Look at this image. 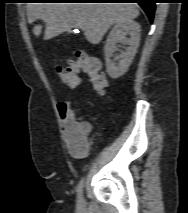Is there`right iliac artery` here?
Masks as SVG:
<instances>
[{"label":"right iliac artery","instance_id":"82829eb1","mask_svg":"<svg viewBox=\"0 0 188 213\" xmlns=\"http://www.w3.org/2000/svg\"><path fill=\"white\" fill-rule=\"evenodd\" d=\"M83 186H84V179H82L77 186V197L79 202L83 200Z\"/></svg>","mask_w":188,"mask_h":213}]
</instances>
